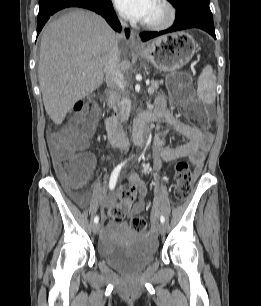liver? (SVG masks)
I'll return each mask as SVG.
<instances>
[{
	"mask_svg": "<svg viewBox=\"0 0 261 306\" xmlns=\"http://www.w3.org/2000/svg\"><path fill=\"white\" fill-rule=\"evenodd\" d=\"M120 39L91 11L76 9L50 22L40 44L38 77L45 110L59 125L80 99L101 86L103 64ZM131 64L123 59L120 68Z\"/></svg>",
	"mask_w": 261,
	"mask_h": 306,
	"instance_id": "1",
	"label": "liver"
}]
</instances>
